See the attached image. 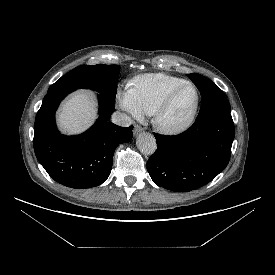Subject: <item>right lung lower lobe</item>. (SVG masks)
<instances>
[{"label": "right lung lower lobe", "instance_id": "obj_1", "mask_svg": "<svg viewBox=\"0 0 275 275\" xmlns=\"http://www.w3.org/2000/svg\"><path fill=\"white\" fill-rule=\"evenodd\" d=\"M72 91L47 94L34 124V151L40 164L56 182L84 189L102 184L110 175L115 149L133 137L132 129L109 122L113 101L99 94V118L86 132L65 136L55 125L60 101Z\"/></svg>", "mask_w": 275, "mask_h": 275}]
</instances>
